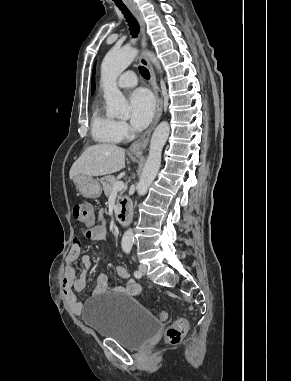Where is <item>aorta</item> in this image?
<instances>
[{
    "label": "aorta",
    "instance_id": "1",
    "mask_svg": "<svg viewBox=\"0 0 291 381\" xmlns=\"http://www.w3.org/2000/svg\"><path fill=\"white\" fill-rule=\"evenodd\" d=\"M138 51L131 47L119 50H110L104 57L101 65V86L107 104V114L110 117L126 118L129 115L127 101L117 88L118 76L132 63ZM152 63L160 70V64L153 53H148ZM170 126L168 122H161L153 132L150 149L143 173L138 182V195L147 193L150 184L155 179L161 164L162 149L168 139ZM134 241L132 229H128L122 238L123 250H130Z\"/></svg>",
    "mask_w": 291,
    "mask_h": 381
}]
</instances>
